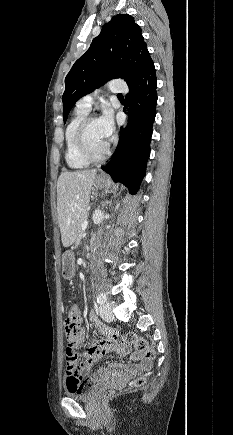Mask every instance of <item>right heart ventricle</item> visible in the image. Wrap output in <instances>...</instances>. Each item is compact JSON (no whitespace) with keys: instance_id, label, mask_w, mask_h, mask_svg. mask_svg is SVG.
I'll return each instance as SVG.
<instances>
[{"instance_id":"e07e8e85","label":"right heart ventricle","mask_w":233,"mask_h":435,"mask_svg":"<svg viewBox=\"0 0 233 435\" xmlns=\"http://www.w3.org/2000/svg\"><path fill=\"white\" fill-rule=\"evenodd\" d=\"M86 116V112L77 108L65 129V160L67 165L72 169H82L88 167L90 164V162L85 160L79 153L75 140L77 127Z\"/></svg>"}]
</instances>
